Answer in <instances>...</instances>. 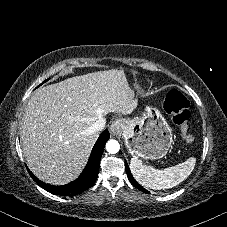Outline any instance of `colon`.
Segmentation results:
<instances>
[{
  "label": "colon",
  "mask_w": 227,
  "mask_h": 227,
  "mask_svg": "<svg viewBox=\"0 0 227 227\" xmlns=\"http://www.w3.org/2000/svg\"><path fill=\"white\" fill-rule=\"evenodd\" d=\"M165 107L178 127L181 139L191 142L193 136L188 127L190 113L187 98L178 90H172L166 96Z\"/></svg>",
  "instance_id": "obj_1"
}]
</instances>
